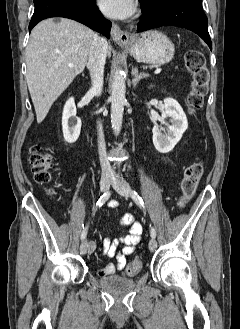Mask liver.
<instances>
[{"label": "liver", "mask_w": 240, "mask_h": 329, "mask_svg": "<svg viewBox=\"0 0 240 329\" xmlns=\"http://www.w3.org/2000/svg\"><path fill=\"white\" fill-rule=\"evenodd\" d=\"M94 35L88 27L69 19H47L32 30L26 48V81L38 123L85 69ZM107 53L110 57L109 49Z\"/></svg>", "instance_id": "6515ba94"}]
</instances>
